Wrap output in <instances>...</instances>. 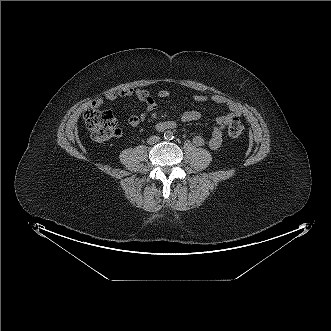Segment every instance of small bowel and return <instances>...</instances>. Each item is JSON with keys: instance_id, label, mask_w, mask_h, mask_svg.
Wrapping results in <instances>:
<instances>
[{"instance_id": "obj_1", "label": "small bowel", "mask_w": 331, "mask_h": 331, "mask_svg": "<svg viewBox=\"0 0 331 331\" xmlns=\"http://www.w3.org/2000/svg\"><path fill=\"white\" fill-rule=\"evenodd\" d=\"M171 95L170 91L168 90H160L158 92V97L160 98H167ZM128 96H134L137 99H139L141 102L145 104V110L140 115H132L127 119V124L130 128H137L142 122H144L148 116L149 113L154 111L157 108V103L153 97V95L141 88H129L119 91H111L108 92L105 97L109 101H114L121 97H128ZM193 100L196 102H207L212 101L214 103L224 105L228 108V113L219 116L216 119V124L213 126L211 130L210 137L206 140L200 135H196L193 137V143L196 146H204L207 144L209 148L212 150L218 149L222 144V136H223V130L229 125V123L234 119L239 117L242 114V108L239 104L232 101L231 99L223 96V95H203V94H196L193 97ZM103 99L99 98L95 100L91 106L94 108H99L103 105ZM201 117L200 112L196 110H187L185 111L180 118V121L182 123H188V122H194L199 120ZM172 121H162L159 122L156 125L157 130L163 131L166 130L165 126L166 124L170 123Z\"/></svg>"}]
</instances>
